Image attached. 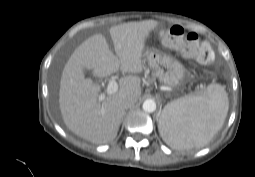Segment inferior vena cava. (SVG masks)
Here are the masks:
<instances>
[{
	"label": "inferior vena cava",
	"instance_id": "inferior-vena-cava-1",
	"mask_svg": "<svg viewBox=\"0 0 255 177\" xmlns=\"http://www.w3.org/2000/svg\"><path fill=\"white\" fill-rule=\"evenodd\" d=\"M135 103H136V99L134 97L128 96L123 99L122 106L124 109H128L132 107Z\"/></svg>",
	"mask_w": 255,
	"mask_h": 177
}]
</instances>
